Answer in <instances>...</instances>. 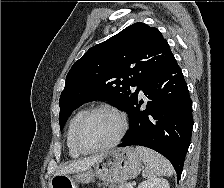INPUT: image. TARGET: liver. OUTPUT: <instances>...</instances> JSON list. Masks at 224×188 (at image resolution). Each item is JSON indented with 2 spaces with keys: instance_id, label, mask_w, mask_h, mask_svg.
I'll list each match as a JSON object with an SVG mask.
<instances>
[{
  "instance_id": "1",
  "label": "liver",
  "mask_w": 224,
  "mask_h": 188,
  "mask_svg": "<svg viewBox=\"0 0 224 188\" xmlns=\"http://www.w3.org/2000/svg\"><path fill=\"white\" fill-rule=\"evenodd\" d=\"M104 154L94 155L88 158L79 159L69 164L62 165L55 175L72 174L79 171H84L91 168Z\"/></svg>"
}]
</instances>
